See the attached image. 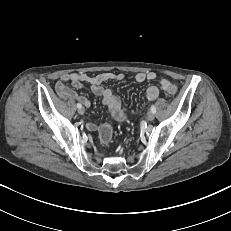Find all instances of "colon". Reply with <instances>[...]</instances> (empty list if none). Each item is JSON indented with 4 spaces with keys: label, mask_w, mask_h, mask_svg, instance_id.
Masks as SVG:
<instances>
[{
    "label": "colon",
    "mask_w": 231,
    "mask_h": 231,
    "mask_svg": "<svg viewBox=\"0 0 231 231\" xmlns=\"http://www.w3.org/2000/svg\"><path fill=\"white\" fill-rule=\"evenodd\" d=\"M160 79H165L164 77H160ZM165 91L169 94H174L176 92V86L172 83L165 85ZM113 136V129L110 124H104L101 126L99 130V137L102 142L108 143Z\"/></svg>",
    "instance_id": "colon-1"
}]
</instances>
